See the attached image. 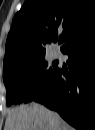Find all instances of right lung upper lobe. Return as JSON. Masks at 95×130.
<instances>
[{"label": "right lung upper lobe", "mask_w": 95, "mask_h": 130, "mask_svg": "<svg viewBox=\"0 0 95 130\" xmlns=\"http://www.w3.org/2000/svg\"><path fill=\"white\" fill-rule=\"evenodd\" d=\"M59 36L61 50L95 32L94 0H27L15 15L6 41L3 71L45 57Z\"/></svg>", "instance_id": "obj_1"}]
</instances>
